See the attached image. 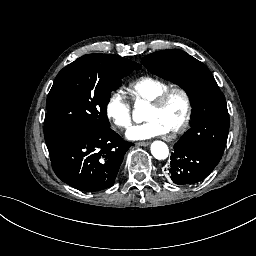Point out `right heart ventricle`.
<instances>
[{"label":"right heart ventricle","mask_w":256,"mask_h":256,"mask_svg":"<svg viewBox=\"0 0 256 256\" xmlns=\"http://www.w3.org/2000/svg\"><path fill=\"white\" fill-rule=\"evenodd\" d=\"M167 89L150 79H143L136 87L135 108L139 113L145 112Z\"/></svg>","instance_id":"e07e8e85"}]
</instances>
